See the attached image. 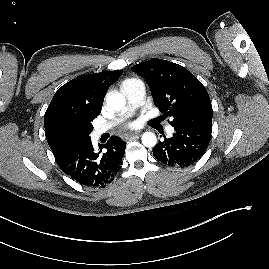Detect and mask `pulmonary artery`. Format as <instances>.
Listing matches in <instances>:
<instances>
[{
	"label": "pulmonary artery",
	"instance_id": "1",
	"mask_svg": "<svg viewBox=\"0 0 269 269\" xmlns=\"http://www.w3.org/2000/svg\"><path fill=\"white\" fill-rule=\"evenodd\" d=\"M121 91L126 96L128 101L126 108L113 121L98 126L95 129V135L98 136L104 133L110 127L121 121L124 117L130 115L135 109L143 104L145 98V86L142 81L133 79L127 82H123ZM167 132L171 134L173 132V128L168 126Z\"/></svg>",
	"mask_w": 269,
	"mask_h": 269
}]
</instances>
